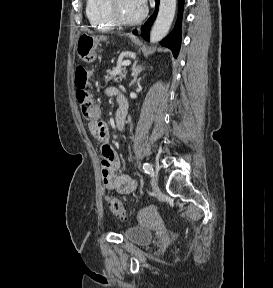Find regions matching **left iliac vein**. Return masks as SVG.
Segmentation results:
<instances>
[{
	"label": "left iliac vein",
	"mask_w": 273,
	"mask_h": 288,
	"mask_svg": "<svg viewBox=\"0 0 273 288\" xmlns=\"http://www.w3.org/2000/svg\"><path fill=\"white\" fill-rule=\"evenodd\" d=\"M158 184V173L153 172V174L151 175V185L153 187H156Z\"/></svg>",
	"instance_id": "4c4485c4"
}]
</instances>
